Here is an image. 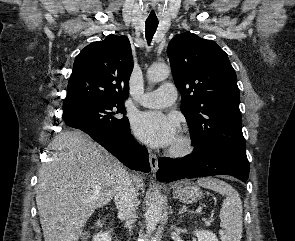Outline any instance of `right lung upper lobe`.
<instances>
[{"mask_svg":"<svg viewBox=\"0 0 295 241\" xmlns=\"http://www.w3.org/2000/svg\"><path fill=\"white\" fill-rule=\"evenodd\" d=\"M133 70L126 36L113 34L86 46L76 57L63 110L85 103L124 102Z\"/></svg>","mask_w":295,"mask_h":241,"instance_id":"cb5924a9","label":"right lung upper lobe"}]
</instances>
